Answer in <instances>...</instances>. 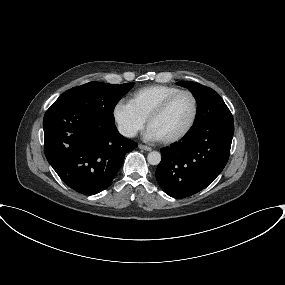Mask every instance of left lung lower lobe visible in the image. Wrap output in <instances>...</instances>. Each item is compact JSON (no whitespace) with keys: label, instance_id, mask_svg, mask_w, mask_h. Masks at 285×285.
Here are the masks:
<instances>
[{"label":"left lung lower lobe","instance_id":"1","mask_svg":"<svg viewBox=\"0 0 285 285\" xmlns=\"http://www.w3.org/2000/svg\"><path fill=\"white\" fill-rule=\"evenodd\" d=\"M233 134V121H215L190 128L181 141L162 148L156 169L162 190L184 198L206 188L224 169Z\"/></svg>","mask_w":285,"mask_h":285}]
</instances>
